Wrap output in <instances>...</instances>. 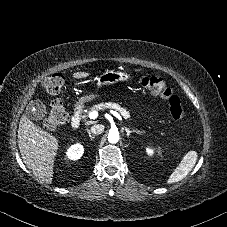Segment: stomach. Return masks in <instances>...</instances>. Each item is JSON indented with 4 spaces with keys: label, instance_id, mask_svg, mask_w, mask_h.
I'll use <instances>...</instances> for the list:
<instances>
[{
    "label": "stomach",
    "instance_id": "stomach-1",
    "mask_svg": "<svg viewBox=\"0 0 227 227\" xmlns=\"http://www.w3.org/2000/svg\"><path fill=\"white\" fill-rule=\"evenodd\" d=\"M97 88L102 86L112 85L121 82H128L133 80V76L127 72L120 70H106L97 77ZM94 95H86L79 99V102L83 103L94 99Z\"/></svg>",
    "mask_w": 227,
    "mask_h": 227
}]
</instances>
